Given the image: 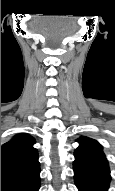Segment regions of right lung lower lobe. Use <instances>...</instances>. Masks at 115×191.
I'll return each mask as SVG.
<instances>
[{"mask_svg": "<svg viewBox=\"0 0 115 191\" xmlns=\"http://www.w3.org/2000/svg\"><path fill=\"white\" fill-rule=\"evenodd\" d=\"M40 168L27 173L1 176V191H38Z\"/></svg>", "mask_w": 115, "mask_h": 191, "instance_id": "right-lung-lower-lobe-1", "label": "right lung lower lobe"}]
</instances>
